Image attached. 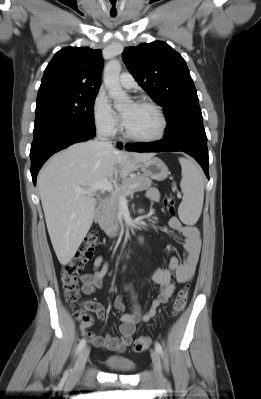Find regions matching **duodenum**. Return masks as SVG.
<instances>
[{"instance_id":"obj_1","label":"duodenum","mask_w":261,"mask_h":399,"mask_svg":"<svg viewBox=\"0 0 261 399\" xmlns=\"http://www.w3.org/2000/svg\"><path fill=\"white\" fill-rule=\"evenodd\" d=\"M106 204H107V200L104 199V200L101 202V205L97 208V210H96V219H97V220H100V219H101V217H102V215H103L104 206H105Z\"/></svg>"}]
</instances>
